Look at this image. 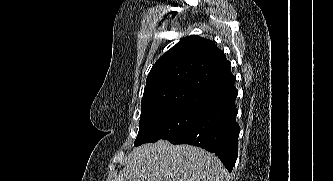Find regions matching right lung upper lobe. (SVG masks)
Here are the masks:
<instances>
[{
	"label": "right lung upper lobe",
	"mask_w": 333,
	"mask_h": 181,
	"mask_svg": "<svg viewBox=\"0 0 333 181\" xmlns=\"http://www.w3.org/2000/svg\"><path fill=\"white\" fill-rule=\"evenodd\" d=\"M231 64L214 42L192 35L163 54L150 70L141 110L163 105L208 108L237 96Z\"/></svg>",
	"instance_id": "right-lung-upper-lobe-1"
}]
</instances>
